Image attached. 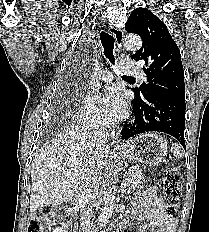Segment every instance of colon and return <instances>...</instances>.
Instances as JSON below:
<instances>
[{
    "instance_id": "5ec220e1",
    "label": "colon",
    "mask_w": 209,
    "mask_h": 232,
    "mask_svg": "<svg viewBox=\"0 0 209 232\" xmlns=\"http://www.w3.org/2000/svg\"><path fill=\"white\" fill-rule=\"evenodd\" d=\"M180 175L171 169L163 177V194L167 204V212L171 216L175 215L181 197ZM53 215L51 208H43L41 211L33 213L29 217L27 232H44L45 224Z\"/></svg>"
}]
</instances>
